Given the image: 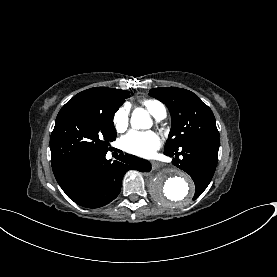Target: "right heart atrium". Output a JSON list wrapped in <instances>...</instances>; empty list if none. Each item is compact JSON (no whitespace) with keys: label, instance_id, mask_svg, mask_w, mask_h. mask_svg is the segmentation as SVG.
I'll use <instances>...</instances> for the list:
<instances>
[{"label":"right heart atrium","instance_id":"obj_1","mask_svg":"<svg viewBox=\"0 0 277 277\" xmlns=\"http://www.w3.org/2000/svg\"><path fill=\"white\" fill-rule=\"evenodd\" d=\"M114 126L115 128L122 132L125 131L128 126V114L125 109H119L114 115Z\"/></svg>","mask_w":277,"mask_h":277}]
</instances>
